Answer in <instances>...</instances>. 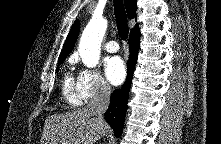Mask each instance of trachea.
Returning a JSON list of instances; mask_svg holds the SVG:
<instances>
[{
	"label": "trachea",
	"instance_id": "1",
	"mask_svg": "<svg viewBox=\"0 0 221 144\" xmlns=\"http://www.w3.org/2000/svg\"><path fill=\"white\" fill-rule=\"evenodd\" d=\"M114 12L118 34L122 40H126L128 37L129 29L123 0H114Z\"/></svg>",
	"mask_w": 221,
	"mask_h": 144
}]
</instances>
